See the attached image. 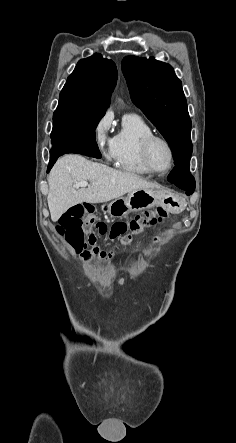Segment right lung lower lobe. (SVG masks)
I'll return each mask as SVG.
<instances>
[{
    "label": "right lung lower lobe",
    "instance_id": "1",
    "mask_svg": "<svg viewBox=\"0 0 236 443\" xmlns=\"http://www.w3.org/2000/svg\"><path fill=\"white\" fill-rule=\"evenodd\" d=\"M65 153H79L90 157L100 158L101 153L96 145H74L67 147H53L50 151V162L48 165V170L52 168L57 158Z\"/></svg>",
    "mask_w": 236,
    "mask_h": 443
}]
</instances>
